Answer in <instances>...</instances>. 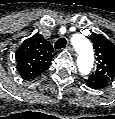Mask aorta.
Segmentation results:
<instances>
[{"instance_id":"762f6f07","label":"aorta","mask_w":115,"mask_h":119,"mask_svg":"<svg viewBox=\"0 0 115 119\" xmlns=\"http://www.w3.org/2000/svg\"><path fill=\"white\" fill-rule=\"evenodd\" d=\"M71 42L78 53L77 66L79 72L82 75L90 73L93 62L94 54L90 41L80 34H76L72 37Z\"/></svg>"}]
</instances>
